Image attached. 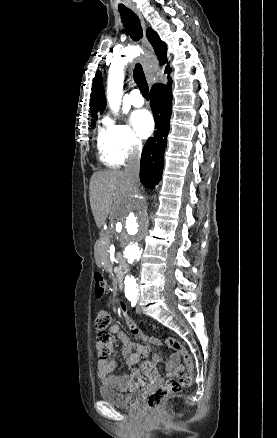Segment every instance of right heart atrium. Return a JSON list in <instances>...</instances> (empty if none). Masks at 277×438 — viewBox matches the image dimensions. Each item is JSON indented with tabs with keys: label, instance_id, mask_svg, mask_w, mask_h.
I'll use <instances>...</instances> for the list:
<instances>
[{
	"label": "right heart atrium",
	"instance_id": "obj_1",
	"mask_svg": "<svg viewBox=\"0 0 277 438\" xmlns=\"http://www.w3.org/2000/svg\"><path fill=\"white\" fill-rule=\"evenodd\" d=\"M110 131L116 150L123 160L140 153L142 143L129 125L112 123L110 125Z\"/></svg>",
	"mask_w": 277,
	"mask_h": 438
}]
</instances>
